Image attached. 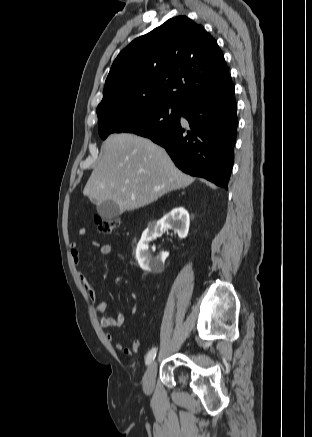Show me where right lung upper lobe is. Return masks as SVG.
<instances>
[{
    "instance_id": "obj_1",
    "label": "right lung upper lobe",
    "mask_w": 312,
    "mask_h": 437,
    "mask_svg": "<svg viewBox=\"0 0 312 437\" xmlns=\"http://www.w3.org/2000/svg\"><path fill=\"white\" fill-rule=\"evenodd\" d=\"M229 76L216 40L201 25L178 16L135 39L117 56L97 107L98 119L130 104L182 107Z\"/></svg>"
}]
</instances>
